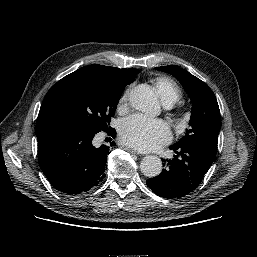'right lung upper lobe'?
<instances>
[{
	"label": "right lung upper lobe",
	"mask_w": 257,
	"mask_h": 257,
	"mask_svg": "<svg viewBox=\"0 0 257 257\" xmlns=\"http://www.w3.org/2000/svg\"><path fill=\"white\" fill-rule=\"evenodd\" d=\"M124 71H125V68L119 69L115 67H108V66H102V65H89V66L82 67L75 72H95L106 78L120 79ZM45 104H46V96L40 108V112L37 118V123H36L37 139L54 128V126L49 124L46 119Z\"/></svg>",
	"instance_id": "obj_1"
}]
</instances>
